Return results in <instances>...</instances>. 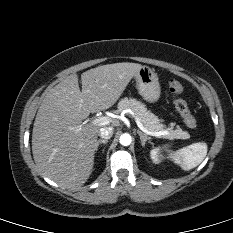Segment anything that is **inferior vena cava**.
<instances>
[{"label": "inferior vena cava", "mask_w": 233, "mask_h": 233, "mask_svg": "<svg viewBox=\"0 0 233 233\" xmlns=\"http://www.w3.org/2000/svg\"><path fill=\"white\" fill-rule=\"evenodd\" d=\"M98 135L101 138H104V139L111 138L112 135H113V127H103V128H100V130L98 132Z\"/></svg>", "instance_id": "inferior-vena-cava-1"}]
</instances>
